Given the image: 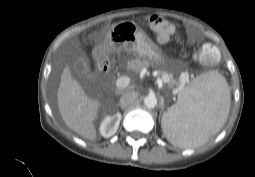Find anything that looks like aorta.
<instances>
[{"mask_svg": "<svg viewBox=\"0 0 255 177\" xmlns=\"http://www.w3.org/2000/svg\"><path fill=\"white\" fill-rule=\"evenodd\" d=\"M144 105L147 108H154L157 105V98L154 95H148L144 98Z\"/></svg>", "mask_w": 255, "mask_h": 177, "instance_id": "obj_1", "label": "aorta"}]
</instances>
